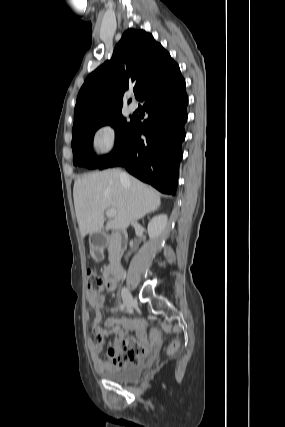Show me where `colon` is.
Segmentation results:
<instances>
[{
  "mask_svg": "<svg viewBox=\"0 0 285 427\" xmlns=\"http://www.w3.org/2000/svg\"><path fill=\"white\" fill-rule=\"evenodd\" d=\"M86 285L87 289L91 293H101L105 284L101 277L92 269H88L86 272ZM152 344H156L158 341V332L153 329L150 334ZM177 346L176 342H173L171 349H175ZM145 352V349L139 344V342L133 338H130L121 346L120 351V362L122 363H133L136 362Z\"/></svg>",
  "mask_w": 285,
  "mask_h": 427,
  "instance_id": "colon-1",
  "label": "colon"
}]
</instances>
